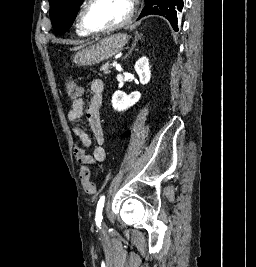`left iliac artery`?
<instances>
[{"instance_id": "obj_1", "label": "left iliac artery", "mask_w": 256, "mask_h": 267, "mask_svg": "<svg viewBox=\"0 0 256 267\" xmlns=\"http://www.w3.org/2000/svg\"><path fill=\"white\" fill-rule=\"evenodd\" d=\"M104 203H105V196H101L98 204H97V209H96V217H95V221H96V225L100 226L103 216H102V210L104 207Z\"/></svg>"}]
</instances>
